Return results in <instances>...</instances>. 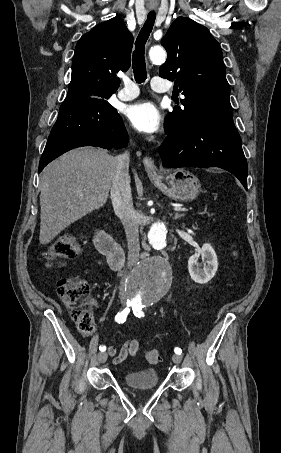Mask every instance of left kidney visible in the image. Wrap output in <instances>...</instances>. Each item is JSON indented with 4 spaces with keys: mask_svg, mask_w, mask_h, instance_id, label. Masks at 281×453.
I'll return each mask as SVG.
<instances>
[{
    "mask_svg": "<svg viewBox=\"0 0 281 453\" xmlns=\"http://www.w3.org/2000/svg\"><path fill=\"white\" fill-rule=\"evenodd\" d=\"M199 253L202 255L203 259H205V263H207V265H204V269H199V267H196L199 255H192L188 261V271L191 279H193L195 283L204 285V283H208V281L213 279L218 269V261L213 247L208 245V243L203 245Z\"/></svg>",
    "mask_w": 281,
    "mask_h": 453,
    "instance_id": "1",
    "label": "left kidney"
}]
</instances>
